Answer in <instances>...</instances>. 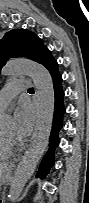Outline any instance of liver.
<instances>
[{
	"mask_svg": "<svg viewBox=\"0 0 89 203\" xmlns=\"http://www.w3.org/2000/svg\"><path fill=\"white\" fill-rule=\"evenodd\" d=\"M9 167V164L8 163H1L0 164V178H1V181L3 182V179L6 175V169Z\"/></svg>",
	"mask_w": 89,
	"mask_h": 203,
	"instance_id": "obj_1",
	"label": "liver"
}]
</instances>
